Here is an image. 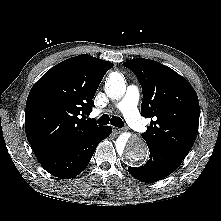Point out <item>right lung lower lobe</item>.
<instances>
[{
  "mask_svg": "<svg viewBox=\"0 0 221 221\" xmlns=\"http://www.w3.org/2000/svg\"><path fill=\"white\" fill-rule=\"evenodd\" d=\"M111 131L110 126H102L92 134L37 159L53 176L73 178L87 167L97 145L107 138Z\"/></svg>",
  "mask_w": 221,
  "mask_h": 221,
  "instance_id": "right-lung-lower-lobe-1",
  "label": "right lung lower lobe"
}]
</instances>
